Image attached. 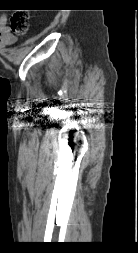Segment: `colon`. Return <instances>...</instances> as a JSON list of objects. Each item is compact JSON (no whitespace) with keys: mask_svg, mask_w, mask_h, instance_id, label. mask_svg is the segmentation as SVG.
Here are the masks:
<instances>
[{"mask_svg":"<svg viewBox=\"0 0 138 253\" xmlns=\"http://www.w3.org/2000/svg\"><path fill=\"white\" fill-rule=\"evenodd\" d=\"M28 28V16L26 13H16L11 19V31L15 35H21Z\"/></svg>","mask_w":138,"mask_h":253,"instance_id":"obj_1","label":"colon"}]
</instances>
